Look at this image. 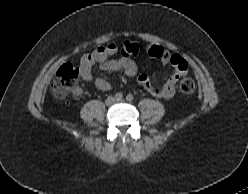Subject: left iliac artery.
Here are the masks:
<instances>
[{"label": "left iliac artery", "mask_w": 248, "mask_h": 194, "mask_svg": "<svg viewBox=\"0 0 248 194\" xmlns=\"http://www.w3.org/2000/svg\"><path fill=\"white\" fill-rule=\"evenodd\" d=\"M126 100L129 101V102H132V101L134 100L133 95H132V94H128V95L126 96Z\"/></svg>", "instance_id": "44dca946"}]
</instances>
